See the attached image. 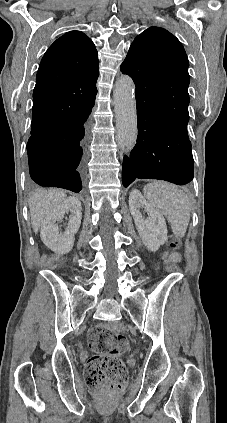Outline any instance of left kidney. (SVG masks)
I'll use <instances>...</instances> for the list:
<instances>
[{
  "mask_svg": "<svg viewBox=\"0 0 227 423\" xmlns=\"http://www.w3.org/2000/svg\"><path fill=\"white\" fill-rule=\"evenodd\" d=\"M140 208L147 211L148 217L146 219L143 217ZM129 210L145 245L150 251H157L167 239V225L162 213L151 208L139 190H131Z\"/></svg>",
  "mask_w": 227,
  "mask_h": 423,
  "instance_id": "1",
  "label": "left kidney"
}]
</instances>
